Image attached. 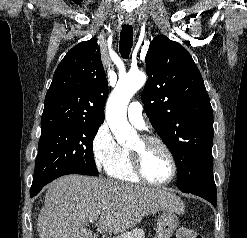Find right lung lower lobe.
Returning a JSON list of instances; mask_svg holds the SVG:
<instances>
[{
	"instance_id": "right-lung-lower-lobe-1",
	"label": "right lung lower lobe",
	"mask_w": 247,
	"mask_h": 238,
	"mask_svg": "<svg viewBox=\"0 0 247 238\" xmlns=\"http://www.w3.org/2000/svg\"><path fill=\"white\" fill-rule=\"evenodd\" d=\"M41 189L37 190V191H30V197L35 196L36 194H38L40 192Z\"/></svg>"
}]
</instances>
